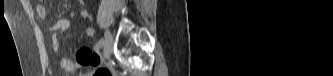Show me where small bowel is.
Returning <instances> with one entry per match:
<instances>
[{
	"mask_svg": "<svg viewBox=\"0 0 333 76\" xmlns=\"http://www.w3.org/2000/svg\"><path fill=\"white\" fill-rule=\"evenodd\" d=\"M36 13L40 18H45L48 15V8L44 3H39L36 6ZM83 19H88L89 14L86 10L81 12ZM70 26V21L68 19H60L50 28L53 31L52 35V49L55 53H58L60 49L59 35L64 33ZM86 34L88 36L94 35V29L88 27L86 29ZM79 51L76 53V62L72 61L70 58H60V66L69 72H73L78 69H84L87 65H95L99 61V56L94 54L93 50H90L89 44H79ZM96 76V75H95Z\"/></svg>",
	"mask_w": 333,
	"mask_h": 76,
	"instance_id": "small-bowel-1",
	"label": "small bowel"
}]
</instances>
